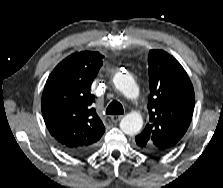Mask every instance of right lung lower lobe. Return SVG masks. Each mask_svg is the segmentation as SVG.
Wrapping results in <instances>:
<instances>
[{
  "mask_svg": "<svg viewBox=\"0 0 223 188\" xmlns=\"http://www.w3.org/2000/svg\"><path fill=\"white\" fill-rule=\"evenodd\" d=\"M97 144L87 147V148H65L62 147V149L67 152L68 154L74 156V157H84L88 154H90L95 148Z\"/></svg>",
  "mask_w": 223,
  "mask_h": 188,
  "instance_id": "1",
  "label": "right lung lower lobe"
}]
</instances>
